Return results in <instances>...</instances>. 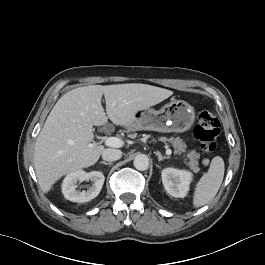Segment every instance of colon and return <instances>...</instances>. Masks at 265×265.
Masks as SVG:
<instances>
[{
	"instance_id": "colon-1",
	"label": "colon",
	"mask_w": 265,
	"mask_h": 265,
	"mask_svg": "<svg viewBox=\"0 0 265 265\" xmlns=\"http://www.w3.org/2000/svg\"><path fill=\"white\" fill-rule=\"evenodd\" d=\"M219 133L220 123L215 115L208 110H200L194 135L205 153H212L216 149Z\"/></svg>"
}]
</instances>
